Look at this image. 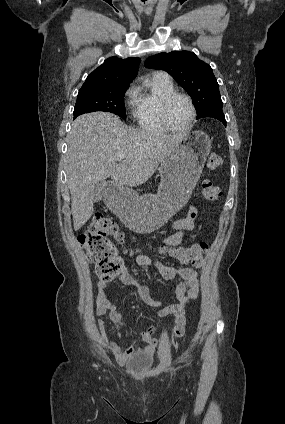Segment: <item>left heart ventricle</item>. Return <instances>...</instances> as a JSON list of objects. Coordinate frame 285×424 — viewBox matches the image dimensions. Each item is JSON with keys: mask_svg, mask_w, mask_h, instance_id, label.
Segmentation results:
<instances>
[{"mask_svg": "<svg viewBox=\"0 0 285 424\" xmlns=\"http://www.w3.org/2000/svg\"><path fill=\"white\" fill-rule=\"evenodd\" d=\"M191 117L190 105L182 97L175 98L168 108V119L170 123L177 128L187 125Z\"/></svg>", "mask_w": 285, "mask_h": 424, "instance_id": "obj_1", "label": "left heart ventricle"}]
</instances>
